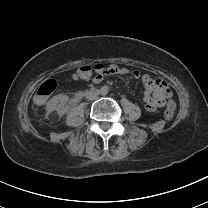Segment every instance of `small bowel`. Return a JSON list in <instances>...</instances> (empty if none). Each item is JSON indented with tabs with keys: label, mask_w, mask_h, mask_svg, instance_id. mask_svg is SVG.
<instances>
[{
	"label": "small bowel",
	"mask_w": 208,
	"mask_h": 208,
	"mask_svg": "<svg viewBox=\"0 0 208 208\" xmlns=\"http://www.w3.org/2000/svg\"><path fill=\"white\" fill-rule=\"evenodd\" d=\"M128 69L125 67L111 66L104 69H99L96 78H94L95 83H99L104 79L105 75L119 74L126 75ZM136 77L140 76V72H134ZM143 82L146 87V93L143 96V102L145 103L146 109L149 111H155L156 109L162 107L167 98L172 95L171 90L167 86V83L159 78H153L149 75L143 76Z\"/></svg>",
	"instance_id": "obj_1"
}]
</instances>
